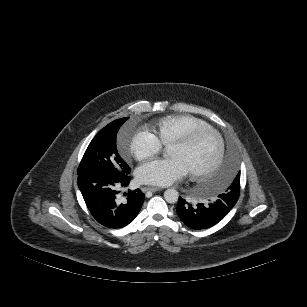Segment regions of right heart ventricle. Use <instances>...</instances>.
Wrapping results in <instances>:
<instances>
[{
    "label": "right heart ventricle",
    "instance_id": "1",
    "mask_svg": "<svg viewBox=\"0 0 307 307\" xmlns=\"http://www.w3.org/2000/svg\"><path fill=\"white\" fill-rule=\"evenodd\" d=\"M205 120L189 114L168 115L155 123V131L162 143L168 145L172 140L187 131L210 127Z\"/></svg>",
    "mask_w": 307,
    "mask_h": 307
}]
</instances>
